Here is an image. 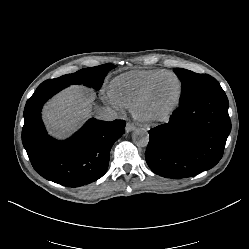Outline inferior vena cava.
<instances>
[{
    "mask_svg": "<svg viewBox=\"0 0 249 249\" xmlns=\"http://www.w3.org/2000/svg\"><path fill=\"white\" fill-rule=\"evenodd\" d=\"M97 118L103 121H114L118 119L117 112L110 106H104L96 114Z\"/></svg>",
    "mask_w": 249,
    "mask_h": 249,
    "instance_id": "obj_1",
    "label": "inferior vena cava"
}]
</instances>
